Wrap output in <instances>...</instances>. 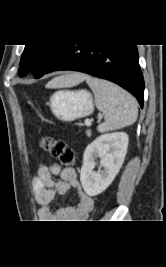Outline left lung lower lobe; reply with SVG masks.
<instances>
[{
  "label": "left lung lower lobe",
  "instance_id": "left-lung-lower-lobe-1",
  "mask_svg": "<svg viewBox=\"0 0 166 267\" xmlns=\"http://www.w3.org/2000/svg\"><path fill=\"white\" fill-rule=\"evenodd\" d=\"M58 70L79 71L112 81L132 93L143 106L144 79L136 45H63L44 74Z\"/></svg>",
  "mask_w": 166,
  "mask_h": 267
}]
</instances>
